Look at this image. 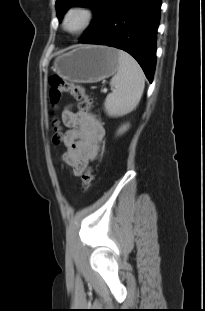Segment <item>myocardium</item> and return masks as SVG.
Returning <instances> with one entry per match:
<instances>
[{"mask_svg": "<svg viewBox=\"0 0 205 311\" xmlns=\"http://www.w3.org/2000/svg\"><path fill=\"white\" fill-rule=\"evenodd\" d=\"M74 13H81L82 16H83V23L82 25L75 29V30H70L68 29V21H69V18L72 14ZM95 18V13L93 11V9L86 5V4H73L71 5L65 15H64V18H63V22H62V28L63 30L70 34V35H79V34H82L83 32H85L92 24L93 20Z\"/></svg>", "mask_w": 205, "mask_h": 311, "instance_id": "f54148a6", "label": "myocardium"}]
</instances>
